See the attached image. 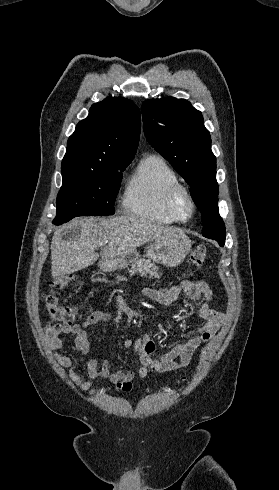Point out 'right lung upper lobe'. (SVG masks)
I'll return each mask as SVG.
<instances>
[{"label":"right lung upper lobe","instance_id":"obj_1","mask_svg":"<svg viewBox=\"0 0 279 490\" xmlns=\"http://www.w3.org/2000/svg\"><path fill=\"white\" fill-rule=\"evenodd\" d=\"M140 135V110L130 100L109 97L94 104L67 142L62 170L129 165Z\"/></svg>","mask_w":279,"mask_h":490}]
</instances>
